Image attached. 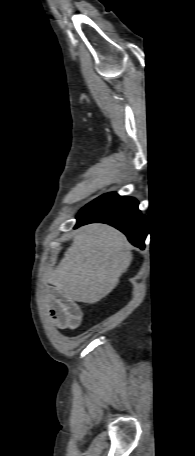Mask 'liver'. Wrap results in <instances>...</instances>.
<instances>
[{"label": "liver", "mask_w": 195, "mask_h": 456, "mask_svg": "<svg viewBox=\"0 0 195 456\" xmlns=\"http://www.w3.org/2000/svg\"><path fill=\"white\" fill-rule=\"evenodd\" d=\"M133 259L120 231L104 224L77 230L71 246L48 281L71 301L96 303L118 285Z\"/></svg>", "instance_id": "6515ba94"}]
</instances>
